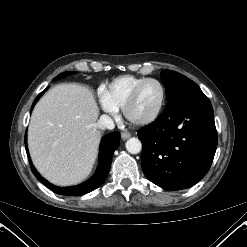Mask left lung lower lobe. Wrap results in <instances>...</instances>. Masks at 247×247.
<instances>
[{
  "mask_svg": "<svg viewBox=\"0 0 247 247\" xmlns=\"http://www.w3.org/2000/svg\"><path fill=\"white\" fill-rule=\"evenodd\" d=\"M138 137L146 177L163 189H187L206 175L215 155L211 102L201 90L177 97Z\"/></svg>",
  "mask_w": 247,
  "mask_h": 247,
  "instance_id": "left-lung-lower-lobe-1",
  "label": "left lung lower lobe"
}]
</instances>
